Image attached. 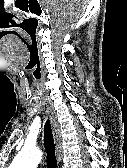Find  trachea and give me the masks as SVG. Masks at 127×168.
<instances>
[{
    "mask_svg": "<svg viewBox=\"0 0 127 168\" xmlns=\"http://www.w3.org/2000/svg\"><path fill=\"white\" fill-rule=\"evenodd\" d=\"M44 146L46 150L47 168H57V158L55 153V142L53 138L50 121L47 120L44 126Z\"/></svg>",
    "mask_w": 127,
    "mask_h": 168,
    "instance_id": "trachea-1",
    "label": "trachea"
}]
</instances>
